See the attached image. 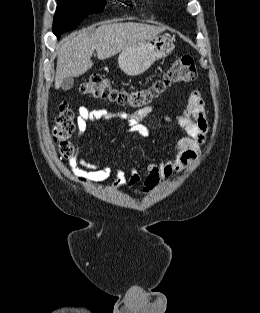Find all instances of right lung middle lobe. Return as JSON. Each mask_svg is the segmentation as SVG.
<instances>
[{"mask_svg": "<svg viewBox=\"0 0 260 313\" xmlns=\"http://www.w3.org/2000/svg\"><path fill=\"white\" fill-rule=\"evenodd\" d=\"M104 0H58L53 21V33L59 38L64 32L75 29L88 15L104 10Z\"/></svg>", "mask_w": 260, "mask_h": 313, "instance_id": "obj_1", "label": "right lung middle lobe"}]
</instances>
